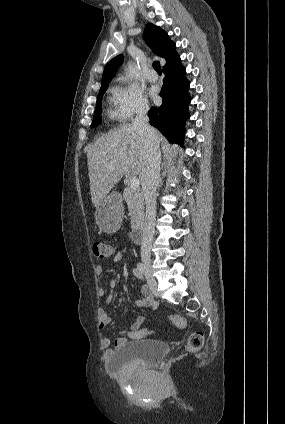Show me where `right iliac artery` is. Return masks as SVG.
<instances>
[{"label":"right iliac artery","mask_w":285,"mask_h":424,"mask_svg":"<svg viewBox=\"0 0 285 424\" xmlns=\"http://www.w3.org/2000/svg\"><path fill=\"white\" fill-rule=\"evenodd\" d=\"M137 269L142 273L145 274V269L142 263H138Z\"/></svg>","instance_id":"obj_1"}]
</instances>
